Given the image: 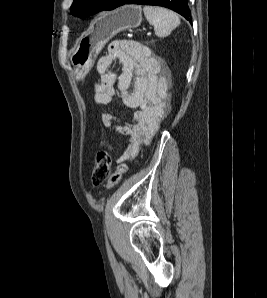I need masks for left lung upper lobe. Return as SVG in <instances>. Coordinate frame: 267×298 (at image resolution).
Listing matches in <instances>:
<instances>
[{"label": "left lung upper lobe", "mask_w": 267, "mask_h": 298, "mask_svg": "<svg viewBox=\"0 0 267 298\" xmlns=\"http://www.w3.org/2000/svg\"><path fill=\"white\" fill-rule=\"evenodd\" d=\"M118 0H74L70 11L78 17L93 15L102 10H112L117 6Z\"/></svg>", "instance_id": "5c2ea615"}]
</instances>
